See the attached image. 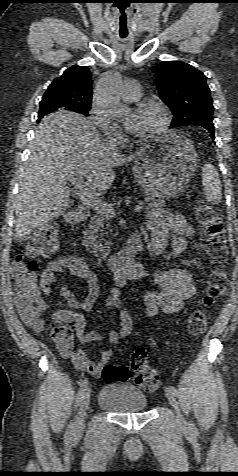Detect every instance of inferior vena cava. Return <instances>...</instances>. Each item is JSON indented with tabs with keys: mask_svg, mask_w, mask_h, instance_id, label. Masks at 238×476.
Returning a JSON list of instances; mask_svg holds the SVG:
<instances>
[{
	"mask_svg": "<svg viewBox=\"0 0 238 476\" xmlns=\"http://www.w3.org/2000/svg\"><path fill=\"white\" fill-rule=\"evenodd\" d=\"M107 144L111 150L117 151V144L114 139H108Z\"/></svg>",
	"mask_w": 238,
	"mask_h": 476,
	"instance_id": "602c4592",
	"label": "inferior vena cava"
}]
</instances>
